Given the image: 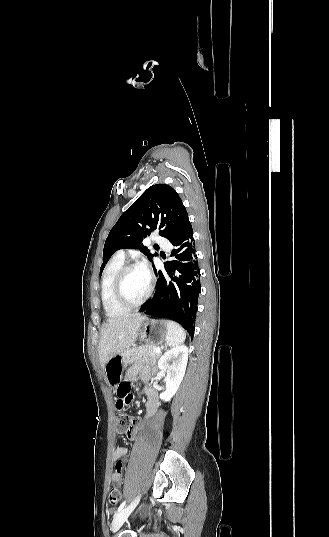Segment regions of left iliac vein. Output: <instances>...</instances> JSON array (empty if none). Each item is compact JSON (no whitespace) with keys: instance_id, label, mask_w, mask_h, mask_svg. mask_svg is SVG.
Wrapping results in <instances>:
<instances>
[{"instance_id":"obj_1","label":"left iliac vein","mask_w":329,"mask_h":537,"mask_svg":"<svg viewBox=\"0 0 329 537\" xmlns=\"http://www.w3.org/2000/svg\"><path fill=\"white\" fill-rule=\"evenodd\" d=\"M139 501H140V495L136 496L134 500L127 507L123 508L120 512H118L115 515L112 521V525H111V530L113 533L117 532L120 529V527L127 520L131 512L138 505Z\"/></svg>"}]
</instances>
